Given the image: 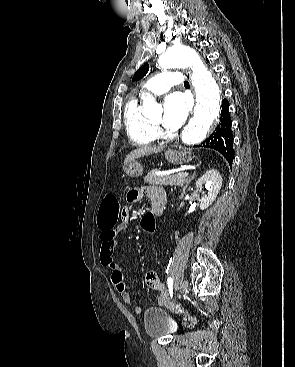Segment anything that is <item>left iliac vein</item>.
Instances as JSON below:
<instances>
[{
    "label": "left iliac vein",
    "mask_w": 295,
    "mask_h": 367,
    "mask_svg": "<svg viewBox=\"0 0 295 367\" xmlns=\"http://www.w3.org/2000/svg\"><path fill=\"white\" fill-rule=\"evenodd\" d=\"M176 288L181 292V294H184L188 288L187 281L183 280L180 284L176 286Z\"/></svg>",
    "instance_id": "obj_1"
}]
</instances>
